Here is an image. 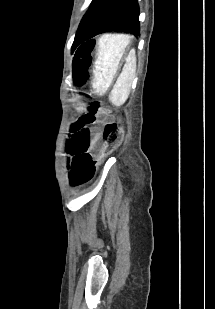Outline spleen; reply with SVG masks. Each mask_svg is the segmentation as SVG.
<instances>
[{"instance_id":"obj_1","label":"spleen","mask_w":215,"mask_h":309,"mask_svg":"<svg viewBox=\"0 0 215 309\" xmlns=\"http://www.w3.org/2000/svg\"><path fill=\"white\" fill-rule=\"evenodd\" d=\"M129 56H132V58H136L134 48L130 50ZM115 86H117V90L116 92H111V100L113 104H116V106H121V104H124L126 98H128V94L130 92V70H127V68H123L119 78H117Z\"/></svg>"}]
</instances>
